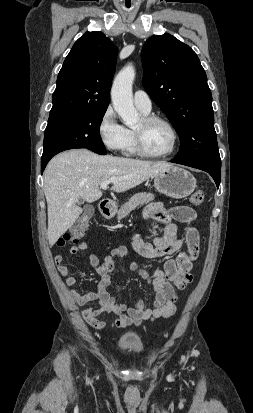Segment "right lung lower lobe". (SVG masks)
I'll return each mask as SVG.
<instances>
[{"label":"right lung lower lobe","instance_id":"right-lung-lower-lobe-1","mask_svg":"<svg viewBox=\"0 0 253 413\" xmlns=\"http://www.w3.org/2000/svg\"><path fill=\"white\" fill-rule=\"evenodd\" d=\"M74 148H77V147L63 148V149H60V150H58V151H56V152H54V153H52V154H49V155H47V156H42V160H41V172L44 171L47 163L49 162V160H50L54 155H56V154H58L59 152H62V151H64V150L74 149ZM87 149H89V150H91V151H93V152H95V153H97V154H100V155H105V154L107 153L105 147H90V148H87Z\"/></svg>","mask_w":253,"mask_h":413}]
</instances>
